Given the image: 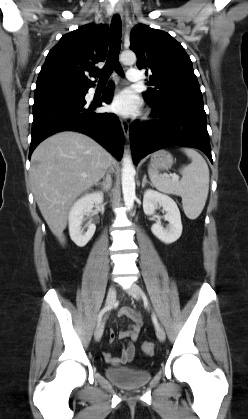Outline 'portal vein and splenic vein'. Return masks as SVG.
Masks as SVG:
<instances>
[{
  "mask_svg": "<svg viewBox=\"0 0 248 419\" xmlns=\"http://www.w3.org/2000/svg\"><path fill=\"white\" fill-rule=\"evenodd\" d=\"M172 178H173L174 180L178 181L179 176H178V175H176V174H173V175H172Z\"/></svg>",
  "mask_w": 248,
  "mask_h": 419,
  "instance_id": "obj_1",
  "label": "portal vein and splenic vein"
}]
</instances>
